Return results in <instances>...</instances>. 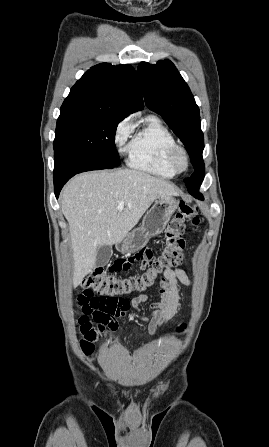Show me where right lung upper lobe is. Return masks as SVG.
<instances>
[{
    "instance_id": "right-lung-upper-lobe-1",
    "label": "right lung upper lobe",
    "mask_w": 269,
    "mask_h": 447,
    "mask_svg": "<svg viewBox=\"0 0 269 447\" xmlns=\"http://www.w3.org/2000/svg\"><path fill=\"white\" fill-rule=\"evenodd\" d=\"M143 107L133 67L101 63L89 69L72 87L61 106L60 116H105L122 120Z\"/></svg>"
}]
</instances>
